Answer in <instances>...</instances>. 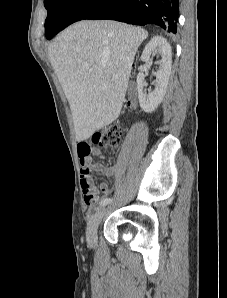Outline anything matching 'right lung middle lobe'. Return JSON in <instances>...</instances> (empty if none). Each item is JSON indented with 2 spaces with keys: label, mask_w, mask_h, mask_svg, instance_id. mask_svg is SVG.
<instances>
[{
  "label": "right lung middle lobe",
  "mask_w": 227,
  "mask_h": 298,
  "mask_svg": "<svg viewBox=\"0 0 227 298\" xmlns=\"http://www.w3.org/2000/svg\"><path fill=\"white\" fill-rule=\"evenodd\" d=\"M102 0H44L48 11L45 35L50 39L68 25L83 19Z\"/></svg>",
  "instance_id": "1"
}]
</instances>
